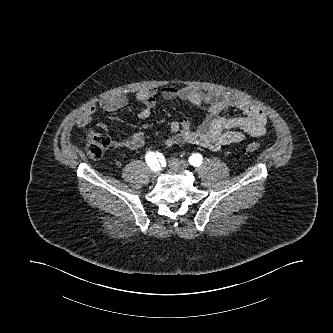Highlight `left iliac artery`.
Returning a JSON list of instances; mask_svg holds the SVG:
<instances>
[{"mask_svg": "<svg viewBox=\"0 0 333 333\" xmlns=\"http://www.w3.org/2000/svg\"><path fill=\"white\" fill-rule=\"evenodd\" d=\"M203 157L201 154H192L189 157V163L193 166H199L202 163Z\"/></svg>", "mask_w": 333, "mask_h": 333, "instance_id": "44dca946", "label": "left iliac artery"}]
</instances>
